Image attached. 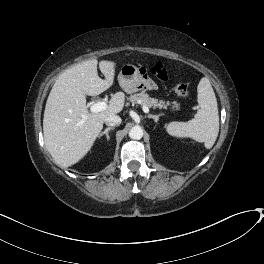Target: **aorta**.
<instances>
[{
  "label": "aorta",
  "instance_id": "aorta-1",
  "mask_svg": "<svg viewBox=\"0 0 264 264\" xmlns=\"http://www.w3.org/2000/svg\"><path fill=\"white\" fill-rule=\"evenodd\" d=\"M143 136V129L140 126H134L129 131L131 139H141Z\"/></svg>",
  "mask_w": 264,
  "mask_h": 264
}]
</instances>
